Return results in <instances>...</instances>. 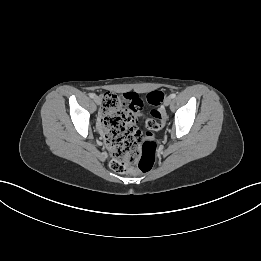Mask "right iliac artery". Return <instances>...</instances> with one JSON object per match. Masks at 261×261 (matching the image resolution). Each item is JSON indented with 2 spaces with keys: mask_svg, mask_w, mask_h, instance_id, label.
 I'll list each match as a JSON object with an SVG mask.
<instances>
[{
  "mask_svg": "<svg viewBox=\"0 0 261 261\" xmlns=\"http://www.w3.org/2000/svg\"><path fill=\"white\" fill-rule=\"evenodd\" d=\"M89 96H90V98H94V97H95V94L90 93Z\"/></svg>",
  "mask_w": 261,
  "mask_h": 261,
  "instance_id": "1",
  "label": "right iliac artery"
}]
</instances>
